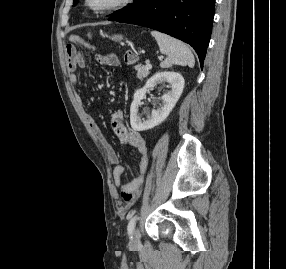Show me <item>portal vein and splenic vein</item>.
I'll return each instance as SVG.
<instances>
[{
	"label": "portal vein and splenic vein",
	"mask_w": 286,
	"mask_h": 269,
	"mask_svg": "<svg viewBox=\"0 0 286 269\" xmlns=\"http://www.w3.org/2000/svg\"><path fill=\"white\" fill-rule=\"evenodd\" d=\"M146 67H147V69H151V68H152V65L148 62V63L146 64Z\"/></svg>",
	"instance_id": "portal-vein-and-splenic-vein-1"
}]
</instances>
